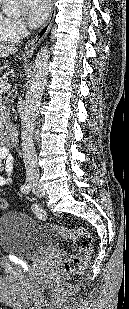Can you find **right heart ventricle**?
<instances>
[{"label": "right heart ventricle", "instance_id": "e07e8e85", "mask_svg": "<svg viewBox=\"0 0 129 309\" xmlns=\"http://www.w3.org/2000/svg\"><path fill=\"white\" fill-rule=\"evenodd\" d=\"M10 19L0 11V43L16 41L10 32Z\"/></svg>", "mask_w": 129, "mask_h": 309}]
</instances>
